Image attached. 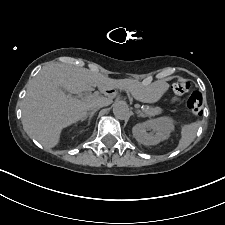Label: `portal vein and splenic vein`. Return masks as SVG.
Segmentation results:
<instances>
[{"label":"portal vein and splenic vein","instance_id":"obj_1","mask_svg":"<svg viewBox=\"0 0 225 225\" xmlns=\"http://www.w3.org/2000/svg\"><path fill=\"white\" fill-rule=\"evenodd\" d=\"M95 96H97V93H94L93 95H88L87 97L91 98V97H95Z\"/></svg>","mask_w":225,"mask_h":225}]
</instances>
